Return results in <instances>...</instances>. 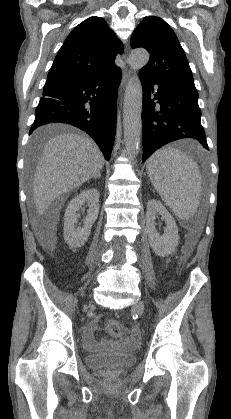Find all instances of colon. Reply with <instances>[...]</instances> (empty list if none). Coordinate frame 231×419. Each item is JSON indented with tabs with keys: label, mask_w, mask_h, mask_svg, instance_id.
I'll return each mask as SVG.
<instances>
[{
	"label": "colon",
	"mask_w": 231,
	"mask_h": 419,
	"mask_svg": "<svg viewBox=\"0 0 231 419\" xmlns=\"http://www.w3.org/2000/svg\"><path fill=\"white\" fill-rule=\"evenodd\" d=\"M107 331L112 337L119 338L124 335L125 327L118 320H110L107 323ZM108 384H110V382H108Z\"/></svg>",
	"instance_id": "colon-1"
}]
</instances>
